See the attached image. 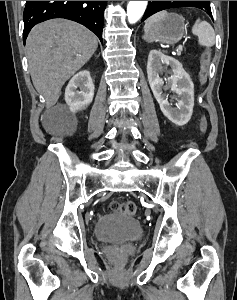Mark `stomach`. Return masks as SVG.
Instances as JSON below:
<instances>
[{"label":"stomach","mask_w":237,"mask_h":300,"mask_svg":"<svg viewBox=\"0 0 237 300\" xmlns=\"http://www.w3.org/2000/svg\"><path fill=\"white\" fill-rule=\"evenodd\" d=\"M185 35V21L181 15L177 13H168L167 17L153 25L149 31H145L143 39L153 43V41H159V43H167V45H173L178 43Z\"/></svg>","instance_id":"0dacf381"}]
</instances>
